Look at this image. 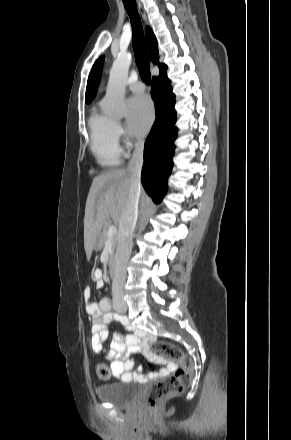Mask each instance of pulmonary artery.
<instances>
[{
	"mask_svg": "<svg viewBox=\"0 0 291 440\" xmlns=\"http://www.w3.org/2000/svg\"><path fill=\"white\" fill-rule=\"evenodd\" d=\"M129 89L134 93H141L145 89V84L142 81H134L130 84Z\"/></svg>",
	"mask_w": 291,
	"mask_h": 440,
	"instance_id": "1",
	"label": "pulmonary artery"
}]
</instances>
